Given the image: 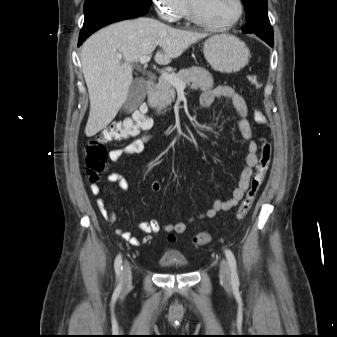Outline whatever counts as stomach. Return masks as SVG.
Wrapping results in <instances>:
<instances>
[{
	"label": "stomach",
	"instance_id": "obj_1",
	"mask_svg": "<svg viewBox=\"0 0 337 337\" xmlns=\"http://www.w3.org/2000/svg\"><path fill=\"white\" fill-rule=\"evenodd\" d=\"M204 56L216 71L233 73L240 71L248 64L250 51L237 37L221 34L205 41Z\"/></svg>",
	"mask_w": 337,
	"mask_h": 337
}]
</instances>
